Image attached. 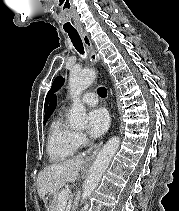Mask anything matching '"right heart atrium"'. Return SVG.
<instances>
[{
	"label": "right heart atrium",
	"instance_id": "1",
	"mask_svg": "<svg viewBox=\"0 0 179 211\" xmlns=\"http://www.w3.org/2000/svg\"><path fill=\"white\" fill-rule=\"evenodd\" d=\"M74 137H75L76 144L78 146L85 144L87 141L86 136L81 132H75Z\"/></svg>",
	"mask_w": 179,
	"mask_h": 211
}]
</instances>
